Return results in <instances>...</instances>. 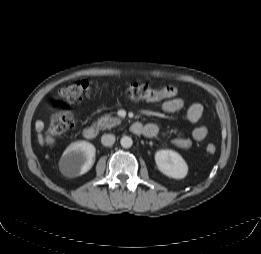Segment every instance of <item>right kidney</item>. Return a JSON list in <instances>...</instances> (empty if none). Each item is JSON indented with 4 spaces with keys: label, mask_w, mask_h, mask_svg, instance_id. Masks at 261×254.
<instances>
[{
    "label": "right kidney",
    "mask_w": 261,
    "mask_h": 254,
    "mask_svg": "<svg viewBox=\"0 0 261 254\" xmlns=\"http://www.w3.org/2000/svg\"><path fill=\"white\" fill-rule=\"evenodd\" d=\"M95 152V147L86 141L70 144L60 161L63 174L68 177H77L89 171L94 164Z\"/></svg>",
    "instance_id": "right-kidney-1"
}]
</instances>
